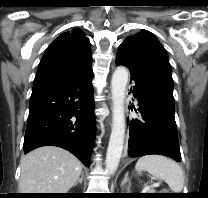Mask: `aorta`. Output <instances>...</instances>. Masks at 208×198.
Instances as JSON below:
<instances>
[{"instance_id": "aorta-1", "label": "aorta", "mask_w": 208, "mask_h": 198, "mask_svg": "<svg viewBox=\"0 0 208 198\" xmlns=\"http://www.w3.org/2000/svg\"><path fill=\"white\" fill-rule=\"evenodd\" d=\"M129 71L125 67H117L111 79L112 93V130L106 153V171L114 174L121 159L125 136L124 100Z\"/></svg>"}]
</instances>
